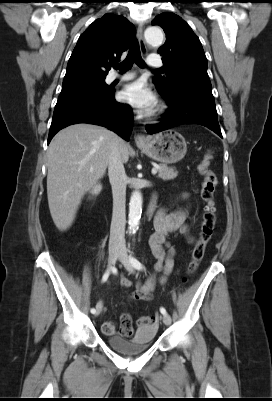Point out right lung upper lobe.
<instances>
[{"instance_id":"obj_1","label":"right lung upper lobe","mask_w":272,"mask_h":401,"mask_svg":"<svg viewBox=\"0 0 272 401\" xmlns=\"http://www.w3.org/2000/svg\"><path fill=\"white\" fill-rule=\"evenodd\" d=\"M135 32L133 24L121 15L107 13L95 20L78 39L62 90L105 80L110 64L120 60Z\"/></svg>"}]
</instances>
